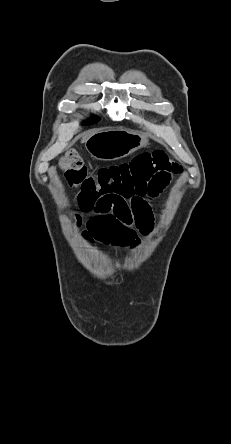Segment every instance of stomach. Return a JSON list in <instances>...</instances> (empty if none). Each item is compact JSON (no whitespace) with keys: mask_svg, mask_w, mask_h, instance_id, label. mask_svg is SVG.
Here are the masks:
<instances>
[{"mask_svg":"<svg viewBox=\"0 0 231 444\" xmlns=\"http://www.w3.org/2000/svg\"><path fill=\"white\" fill-rule=\"evenodd\" d=\"M149 144L145 135L131 130H106L98 132L86 141V148L98 160L123 158Z\"/></svg>","mask_w":231,"mask_h":444,"instance_id":"1","label":"stomach"}]
</instances>
